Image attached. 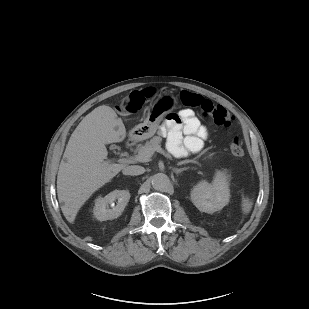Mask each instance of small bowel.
<instances>
[{
	"label": "small bowel",
	"instance_id": "obj_1",
	"mask_svg": "<svg viewBox=\"0 0 309 309\" xmlns=\"http://www.w3.org/2000/svg\"><path fill=\"white\" fill-rule=\"evenodd\" d=\"M143 97V95H142ZM168 147L175 155L198 153L208 136L207 128L190 109L170 115L165 123Z\"/></svg>",
	"mask_w": 309,
	"mask_h": 309
}]
</instances>
